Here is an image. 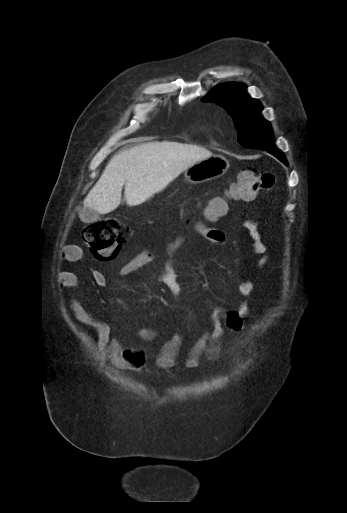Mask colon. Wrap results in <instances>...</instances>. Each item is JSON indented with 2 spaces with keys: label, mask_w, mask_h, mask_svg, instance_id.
<instances>
[{
  "label": "colon",
  "mask_w": 347,
  "mask_h": 513,
  "mask_svg": "<svg viewBox=\"0 0 347 513\" xmlns=\"http://www.w3.org/2000/svg\"><path fill=\"white\" fill-rule=\"evenodd\" d=\"M275 182V174L270 171L240 172L225 195L214 196L208 201L205 209L206 220L214 222L224 217L228 211L229 199L251 201L259 192L273 188ZM83 235L96 258L101 261L115 259L125 240L123 225L116 217H108L88 224L84 228Z\"/></svg>",
  "instance_id": "5ec220e1"
}]
</instances>
